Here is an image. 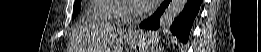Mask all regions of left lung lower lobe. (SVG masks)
Masks as SVG:
<instances>
[{
	"label": "left lung lower lobe",
	"instance_id": "left-lung-lower-lobe-1",
	"mask_svg": "<svg viewBox=\"0 0 261 52\" xmlns=\"http://www.w3.org/2000/svg\"><path fill=\"white\" fill-rule=\"evenodd\" d=\"M170 0H166L157 9V11L150 18L146 19L140 24V28L157 29L160 26L159 20L165 8L169 5ZM202 0H188L183 11L174 20L170 26L173 35L177 36L181 42L186 43L189 38L190 30L193 21L200 9Z\"/></svg>",
	"mask_w": 261,
	"mask_h": 52
}]
</instances>
